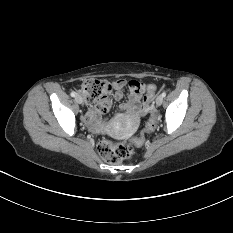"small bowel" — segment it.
I'll return each mask as SVG.
<instances>
[{"mask_svg": "<svg viewBox=\"0 0 233 233\" xmlns=\"http://www.w3.org/2000/svg\"><path fill=\"white\" fill-rule=\"evenodd\" d=\"M129 87V95L127 100L121 104L120 109L124 111L129 120L134 123L140 116L146 114L143 106V97L145 92V84L137 80L119 79L112 83L114 89V99L120 101L124 97L125 87ZM89 110L86 114V121L95 131L103 129L101 114L107 111L111 106V100H88Z\"/></svg>", "mask_w": 233, "mask_h": 233, "instance_id": "1", "label": "small bowel"}]
</instances>
